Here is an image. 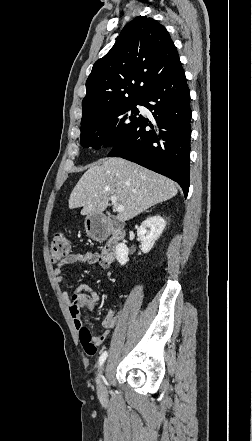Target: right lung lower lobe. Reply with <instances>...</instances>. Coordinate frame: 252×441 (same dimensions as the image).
<instances>
[{
	"instance_id": "98d812e1",
	"label": "right lung lower lobe",
	"mask_w": 252,
	"mask_h": 441,
	"mask_svg": "<svg viewBox=\"0 0 252 441\" xmlns=\"http://www.w3.org/2000/svg\"><path fill=\"white\" fill-rule=\"evenodd\" d=\"M155 122L141 118L130 134L113 146L108 157H121L179 183L189 190L190 91L180 60L141 100ZM149 126L151 129L147 130Z\"/></svg>"
}]
</instances>
